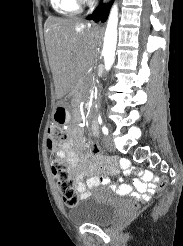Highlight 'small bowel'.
<instances>
[{"instance_id":"c3829d8e","label":"small bowel","mask_w":183,"mask_h":246,"mask_svg":"<svg viewBox=\"0 0 183 246\" xmlns=\"http://www.w3.org/2000/svg\"><path fill=\"white\" fill-rule=\"evenodd\" d=\"M91 131L93 136H97L99 134L98 125L95 123L92 124ZM56 155L58 158L67 161L71 166L81 199L88 197L89 194L87 189H92L98 185L108 186L120 195L141 197L143 199L151 198L152 194H156L157 191L156 189H152V186L148 185H154L155 182H161V177H159V174H153V170H140L139 167L129 169L132 166V163L127 159H121L119 161V166L123 169V174L140 173V175H142L141 179H136L134 181L133 186L121 182L112 183L109 174L115 172L114 167H110L103 176H90V170L92 169L94 162L98 161V157L91 156L87 153L81 133L74 128L68 130V138L57 151ZM84 176L88 177L86 182L82 180Z\"/></svg>"}]
</instances>
